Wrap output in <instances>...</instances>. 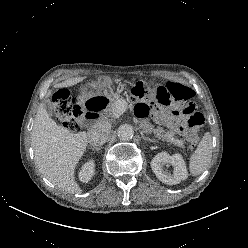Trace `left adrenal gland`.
<instances>
[{
  "instance_id": "obj_1",
  "label": "left adrenal gland",
  "mask_w": 248,
  "mask_h": 248,
  "mask_svg": "<svg viewBox=\"0 0 248 248\" xmlns=\"http://www.w3.org/2000/svg\"><path fill=\"white\" fill-rule=\"evenodd\" d=\"M140 134H141V136H142V138H143L144 140L150 141V142H156L155 140H152V139H150L149 137L144 136L143 132H140Z\"/></svg>"
}]
</instances>
